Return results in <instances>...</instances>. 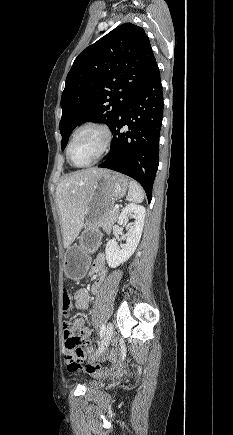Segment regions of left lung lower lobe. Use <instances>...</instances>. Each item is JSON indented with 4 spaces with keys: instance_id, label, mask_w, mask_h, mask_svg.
I'll use <instances>...</instances> for the list:
<instances>
[{
    "instance_id": "left-lung-lower-lobe-1",
    "label": "left lung lower lobe",
    "mask_w": 233,
    "mask_h": 435,
    "mask_svg": "<svg viewBox=\"0 0 233 435\" xmlns=\"http://www.w3.org/2000/svg\"><path fill=\"white\" fill-rule=\"evenodd\" d=\"M162 117V85L159 68L156 66L114 122L110 153L98 165L137 180L144 188L149 202L159 162ZM124 126L126 129H123Z\"/></svg>"
}]
</instances>
